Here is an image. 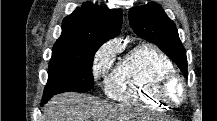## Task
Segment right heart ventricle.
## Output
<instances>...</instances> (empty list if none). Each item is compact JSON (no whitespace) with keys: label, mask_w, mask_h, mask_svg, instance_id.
<instances>
[{"label":"right heart ventricle","mask_w":217,"mask_h":121,"mask_svg":"<svg viewBox=\"0 0 217 121\" xmlns=\"http://www.w3.org/2000/svg\"><path fill=\"white\" fill-rule=\"evenodd\" d=\"M169 72L172 63L167 55L153 45L140 44L114 67L105 90L116 101L163 110L170 103L160 94L159 83Z\"/></svg>","instance_id":"obj_1"}]
</instances>
